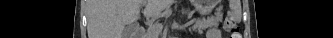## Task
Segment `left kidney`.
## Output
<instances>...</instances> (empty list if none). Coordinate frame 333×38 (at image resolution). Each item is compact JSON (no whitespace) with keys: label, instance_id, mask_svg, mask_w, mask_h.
<instances>
[{"label":"left kidney","instance_id":"5707ae66","mask_svg":"<svg viewBox=\"0 0 333 38\" xmlns=\"http://www.w3.org/2000/svg\"><path fill=\"white\" fill-rule=\"evenodd\" d=\"M218 36H219V33L216 31V38H218Z\"/></svg>","mask_w":333,"mask_h":38}]
</instances>
